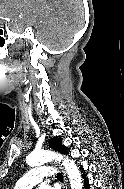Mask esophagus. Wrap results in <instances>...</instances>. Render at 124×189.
<instances>
[{
	"label": "esophagus",
	"mask_w": 124,
	"mask_h": 189,
	"mask_svg": "<svg viewBox=\"0 0 124 189\" xmlns=\"http://www.w3.org/2000/svg\"><path fill=\"white\" fill-rule=\"evenodd\" d=\"M57 166H59V168L63 169L60 165L57 164ZM63 172V176H64V183H65V189H67V176L64 170H62Z\"/></svg>",
	"instance_id": "esophagus-1"
}]
</instances>
